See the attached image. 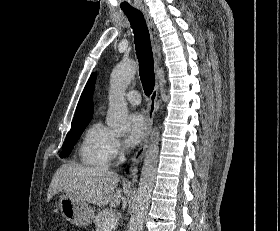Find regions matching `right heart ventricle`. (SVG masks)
<instances>
[{
  "label": "right heart ventricle",
  "instance_id": "e07e8e85",
  "mask_svg": "<svg viewBox=\"0 0 280 231\" xmlns=\"http://www.w3.org/2000/svg\"><path fill=\"white\" fill-rule=\"evenodd\" d=\"M111 132L101 123L94 122L83 133L78 146L82 165L89 168H107L111 161Z\"/></svg>",
  "mask_w": 280,
  "mask_h": 231
}]
</instances>
